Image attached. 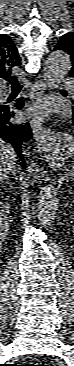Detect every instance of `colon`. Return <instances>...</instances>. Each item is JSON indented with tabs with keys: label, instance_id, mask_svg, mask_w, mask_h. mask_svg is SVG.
Masks as SVG:
<instances>
[{
	"label": "colon",
	"instance_id": "5ec220e1",
	"mask_svg": "<svg viewBox=\"0 0 74 366\" xmlns=\"http://www.w3.org/2000/svg\"><path fill=\"white\" fill-rule=\"evenodd\" d=\"M28 366H45V365H43L41 363H34V364H31V365H28Z\"/></svg>",
	"mask_w": 74,
	"mask_h": 366
}]
</instances>
